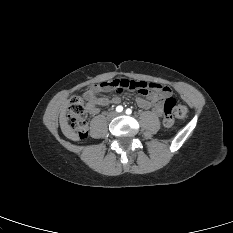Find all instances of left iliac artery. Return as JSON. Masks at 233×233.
Here are the masks:
<instances>
[{
	"mask_svg": "<svg viewBox=\"0 0 233 233\" xmlns=\"http://www.w3.org/2000/svg\"><path fill=\"white\" fill-rule=\"evenodd\" d=\"M132 113V110L131 109H126V114L130 115Z\"/></svg>",
	"mask_w": 233,
	"mask_h": 233,
	"instance_id": "obj_1",
	"label": "left iliac artery"
}]
</instances>
